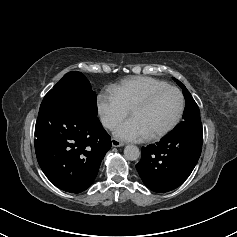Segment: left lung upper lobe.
<instances>
[{
  "label": "left lung upper lobe",
  "instance_id": "5c2ea615",
  "mask_svg": "<svg viewBox=\"0 0 237 237\" xmlns=\"http://www.w3.org/2000/svg\"><path fill=\"white\" fill-rule=\"evenodd\" d=\"M174 80L182 88L186 100V106L183 114V121L178 124L169 135L177 136L189 132H203L198 105L186 87L177 79L174 78Z\"/></svg>",
  "mask_w": 237,
  "mask_h": 237
}]
</instances>
